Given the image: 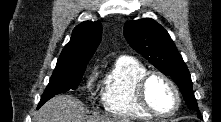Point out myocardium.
Instances as JSON below:
<instances>
[{
	"instance_id": "obj_1",
	"label": "myocardium",
	"mask_w": 221,
	"mask_h": 122,
	"mask_svg": "<svg viewBox=\"0 0 221 122\" xmlns=\"http://www.w3.org/2000/svg\"><path fill=\"white\" fill-rule=\"evenodd\" d=\"M154 77H159L162 80H164L172 89L174 96H175V107L174 109L169 112V113H159L157 112L149 103L148 98H147V86L150 80ZM135 93H136V98L141 106V108L146 111L148 114H150L153 117L157 118H170L174 116L178 110L180 109L181 106V95L179 92V89L175 82L166 74L160 71H148L144 75H142L139 80L136 83L135 86Z\"/></svg>"
}]
</instances>
